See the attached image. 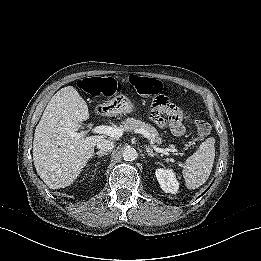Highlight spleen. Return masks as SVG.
Returning <instances> with one entry per match:
<instances>
[{
	"label": "spleen",
	"mask_w": 261,
	"mask_h": 261,
	"mask_svg": "<svg viewBox=\"0 0 261 261\" xmlns=\"http://www.w3.org/2000/svg\"><path fill=\"white\" fill-rule=\"evenodd\" d=\"M214 156L212 141L207 139L186 159L183 176L188 189L198 188L206 182L213 167Z\"/></svg>",
	"instance_id": "obj_1"
}]
</instances>
